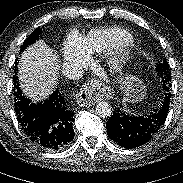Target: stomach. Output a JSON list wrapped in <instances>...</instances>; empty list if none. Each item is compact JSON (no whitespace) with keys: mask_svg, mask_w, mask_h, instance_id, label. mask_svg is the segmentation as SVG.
<instances>
[{"mask_svg":"<svg viewBox=\"0 0 183 183\" xmlns=\"http://www.w3.org/2000/svg\"><path fill=\"white\" fill-rule=\"evenodd\" d=\"M121 87L125 91V101L129 103H138L142 101L146 94L145 86L142 81L136 76L122 77Z\"/></svg>","mask_w":183,"mask_h":183,"instance_id":"0dacf381","label":"stomach"}]
</instances>
